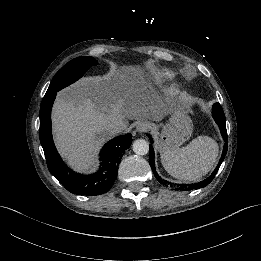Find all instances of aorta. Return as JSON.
Segmentation results:
<instances>
[{
	"mask_svg": "<svg viewBox=\"0 0 261 261\" xmlns=\"http://www.w3.org/2000/svg\"><path fill=\"white\" fill-rule=\"evenodd\" d=\"M133 152L136 155H146L149 152V144L145 139H137L132 145Z\"/></svg>",
	"mask_w": 261,
	"mask_h": 261,
	"instance_id": "762f6f07",
	"label": "aorta"
}]
</instances>
